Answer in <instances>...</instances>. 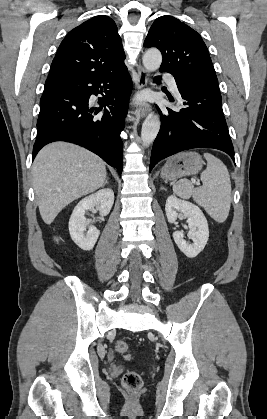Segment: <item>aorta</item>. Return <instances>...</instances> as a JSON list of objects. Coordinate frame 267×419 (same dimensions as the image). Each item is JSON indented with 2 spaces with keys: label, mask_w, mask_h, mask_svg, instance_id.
<instances>
[{
  "label": "aorta",
  "mask_w": 267,
  "mask_h": 419,
  "mask_svg": "<svg viewBox=\"0 0 267 419\" xmlns=\"http://www.w3.org/2000/svg\"><path fill=\"white\" fill-rule=\"evenodd\" d=\"M161 62L162 55L157 49H149L143 56V65L148 71L159 69ZM160 124L158 115L150 113L147 116L141 130V140L144 147H148L154 141L159 132Z\"/></svg>",
  "instance_id": "aorta-1"
}]
</instances>
